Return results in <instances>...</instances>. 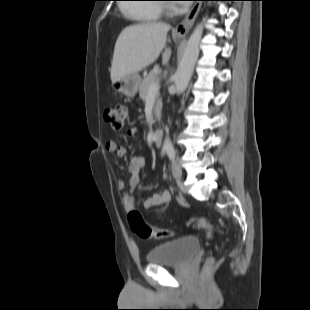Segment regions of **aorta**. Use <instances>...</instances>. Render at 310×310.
Segmentation results:
<instances>
[{"instance_id": "762f6f07", "label": "aorta", "mask_w": 310, "mask_h": 310, "mask_svg": "<svg viewBox=\"0 0 310 310\" xmlns=\"http://www.w3.org/2000/svg\"><path fill=\"white\" fill-rule=\"evenodd\" d=\"M202 31V25H197V27L194 29L188 40L182 60L175 73V87L178 94H181L187 88L191 79L194 66L199 55ZM170 148H172V143L169 139H166L163 144V149L167 150Z\"/></svg>"}]
</instances>
